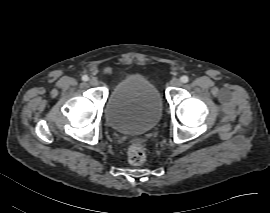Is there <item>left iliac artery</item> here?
<instances>
[{"mask_svg": "<svg viewBox=\"0 0 270 213\" xmlns=\"http://www.w3.org/2000/svg\"><path fill=\"white\" fill-rule=\"evenodd\" d=\"M180 80H181V82H183V83H187V82L189 81V77L186 76V75H184V76H182V77L180 78Z\"/></svg>", "mask_w": 270, "mask_h": 213, "instance_id": "1", "label": "left iliac artery"}]
</instances>
